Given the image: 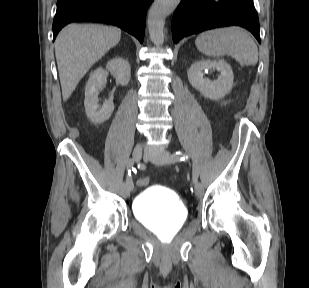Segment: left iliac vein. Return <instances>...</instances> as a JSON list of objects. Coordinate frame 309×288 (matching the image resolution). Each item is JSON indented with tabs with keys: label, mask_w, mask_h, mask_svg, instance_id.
<instances>
[{
	"label": "left iliac vein",
	"mask_w": 309,
	"mask_h": 288,
	"mask_svg": "<svg viewBox=\"0 0 309 288\" xmlns=\"http://www.w3.org/2000/svg\"><path fill=\"white\" fill-rule=\"evenodd\" d=\"M145 157H147L151 162L159 165H168L171 162V154L167 151H160L158 153L146 152ZM194 190L196 197L200 198L204 189L200 182L196 181L194 184Z\"/></svg>",
	"instance_id": "left-iliac-vein-1"
}]
</instances>
